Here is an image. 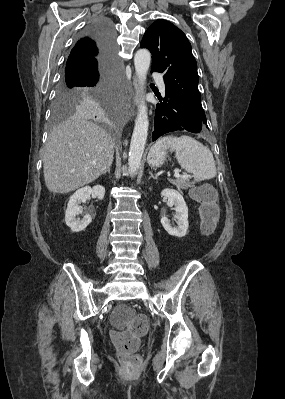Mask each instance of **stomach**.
I'll return each instance as SVG.
<instances>
[{
  "label": "stomach",
  "instance_id": "1",
  "mask_svg": "<svg viewBox=\"0 0 285 399\" xmlns=\"http://www.w3.org/2000/svg\"><path fill=\"white\" fill-rule=\"evenodd\" d=\"M169 146L166 143L155 145L148 154L147 161L151 167H160L166 160L167 149Z\"/></svg>",
  "mask_w": 285,
  "mask_h": 399
}]
</instances>
